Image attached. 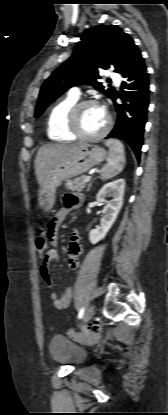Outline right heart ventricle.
Wrapping results in <instances>:
<instances>
[{
	"label": "right heart ventricle",
	"mask_w": 168,
	"mask_h": 415,
	"mask_svg": "<svg viewBox=\"0 0 168 415\" xmlns=\"http://www.w3.org/2000/svg\"><path fill=\"white\" fill-rule=\"evenodd\" d=\"M77 100L68 96L51 109L47 121V134L51 140L67 142L76 139L68 129V114Z\"/></svg>",
	"instance_id": "obj_1"
}]
</instances>
